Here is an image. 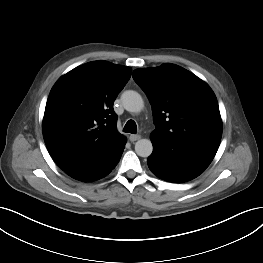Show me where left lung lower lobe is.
<instances>
[{
  "label": "left lung lower lobe",
  "instance_id": "0a47b994",
  "mask_svg": "<svg viewBox=\"0 0 263 263\" xmlns=\"http://www.w3.org/2000/svg\"><path fill=\"white\" fill-rule=\"evenodd\" d=\"M150 137L153 153L147 159L148 167L156 176L168 182L182 183L196 178L208 167L218 149Z\"/></svg>",
  "mask_w": 263,
  "mask_h": 263
}]
</instances>
